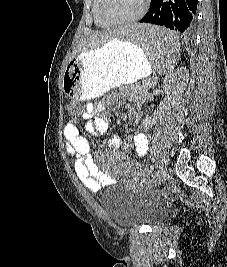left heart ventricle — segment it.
<instances>
[{"label":"left heart ventricle","instance_id":"left-heart-ventricle-1","mask_svg":"<svg viewBox=\"0 0 227 267\" xmlns=\"http://www.w3.org/2000/svg\"><path fill=\"white\" fill-rule=\"evenodd\" d=\"M143 0H106V12L115 19H127L137 14Z\"/></svg>","mask_w":227,"mask_h":267}]
</instances>
